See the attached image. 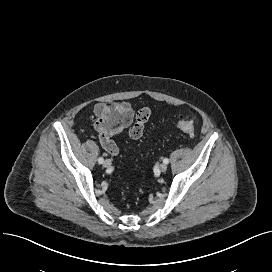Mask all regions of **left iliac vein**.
Listing matches in <instances>:
<instances>
[{
    "label": "left iliac vein",
    "mask_w": 272,
    "mask_h": 272,
    "mask_svg": "<svg viewBox=\"0 0 272 272\" xmlns=\"http://www.w3.org/2000/svg\"><path fill=\"white\" fill-rule=\"evenodd\" d=\"M167 168H168L167 164H165V163H162V164L159 165V170L161 172H165L167 170Z\"/></svg>",
    "instance_id": "obj_1"
}]
</instances>
